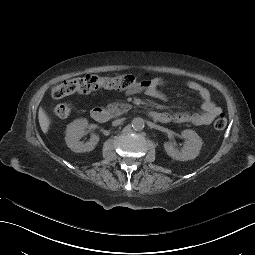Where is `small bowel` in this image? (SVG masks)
Wrapping results in <instances>:
<instances>
[{"label":"small bowel","instance_id":"small-bowel-1","mask_svg":"<svg viewBox=\"0 0 255 255\" xmlns=\"http://www.w3.org/2000/svg\"><path fill=\"white\" fill-rule=\"evenodd\" d=\"M165 84L160 78L151 80H143L139 84L129 88L128 93L134 94L141 91L146 92L152 97L160 98L159 87ZM186 86L195 92L201 99V111L196 113H174L171 114V122L175 123H191L196 126L210 124L220 113L221 109L212 100L210 92L195 81L189 80Z\"/></svg>","mask_w":255,"mask_h":255}]
</instances>
